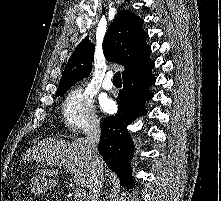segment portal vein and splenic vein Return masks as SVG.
I'll return each instance as SVG.
<instances>
[{"label":"portal vein and splenic vein","mask_w":221,"mask_h":201,"mask_svg":"<svg viewBox=\"0 0 221 201\" xmlns=\"http://www.w3.org/2000/svg\"><path fill=\"white\" fill-rule=\"evenodd\" d=\"M65 168L67 169V171L72 172V168H69L67 166ZM83 197H84V189L76 188L75 195H74L75 200L81 201Z\"/></svg>","instance_id":"obj_1"}]
</instances>
